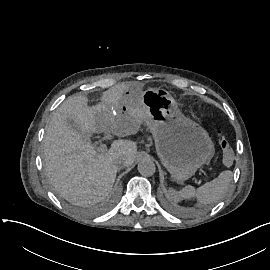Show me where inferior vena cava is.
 <instances>
[{
    "label": "inferior vena cava",
    "mask_w": 270,
    "mask_h": 270,
    "mask_svg": "<svg viewBox=\"0 0 270 270\" xmlns=\"http://www.w3.org/2000/svg\"><path fill=\"white\" fill-rule=\"evenodd\" d=\"M121 165H122V166H128V164H127L126 161H124Z\"/></svg>",
    "instance_id": "obj_1"
}]
</instances>
